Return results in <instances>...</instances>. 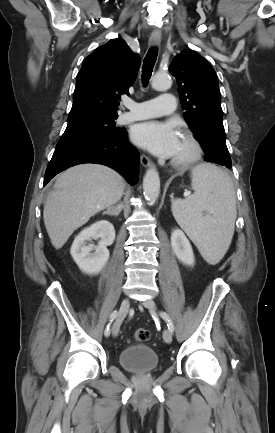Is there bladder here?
Returning <instances> with one entry per match:
<instances>
[{"instance_id": "1", "label": "bladder", "mask_w": 275, "mask_h": 433, "mask_svg": "<svg viewBox=\"0 0 275 433\" xmlns=\"http://www.w3.org/2000/svg\"><path fill=\"white\" fill-rule=\"evenodd\" d=\"M120 366L132 373L150 372L159 366L155 350L146 344H131L118 355Z\"/></svg>"}]
</instances>
